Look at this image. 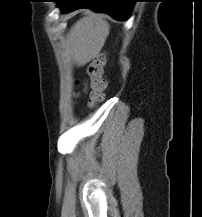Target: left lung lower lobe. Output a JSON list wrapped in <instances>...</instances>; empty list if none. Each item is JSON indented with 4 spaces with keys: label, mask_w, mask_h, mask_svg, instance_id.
Instances as JSON below:
<instances>
[{
    "label": "left lung lower lobe",
    "mask_w": 202,
    "mask_h": 217,
    "mask_svg": "<svg viewBox=\"0 0 202 217\" xmlns=\"http://www.w3.org/2000/svg\"><path fill=\"white\" fill-rule=\"evenodd\" d=\"M63 13L80 8H90L108 13L114 19L124 21L130 16L136 0H55Z\"/></svg>",
    "instance_id": "obj_1"
}]
</instances>
